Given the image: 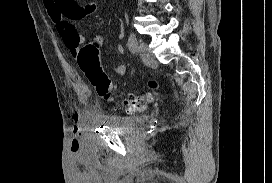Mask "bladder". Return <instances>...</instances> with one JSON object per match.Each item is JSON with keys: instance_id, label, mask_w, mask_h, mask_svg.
I'll return each mask as SVG.
<instances>
[{"instance_id": "31cf9c89", "label": "bladder", "mask_w": 272, "mask_h": 183, "mask_svg": "<svg viewBox=\"0 0 272 183\" xmlns=\"http://www.w3.org/2000/svg\"><path fill=\"white\" fill-rule=\"evenodd\" d=\"M143 122V118L139 116L108 115L101 118L103 125L125 132L138 131Z\"/></svg>"}]
</instances>
